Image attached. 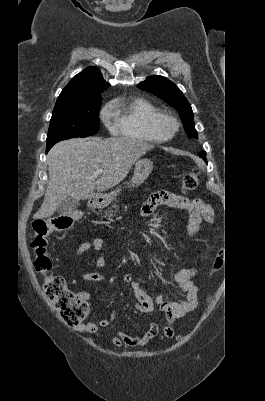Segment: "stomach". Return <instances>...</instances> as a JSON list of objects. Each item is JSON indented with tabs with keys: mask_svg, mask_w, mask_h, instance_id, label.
<instances>
[{
	"mask_svg": "<svg viewBox=\"0 0 265 401\" xmlns=\"http://www.w3.org/2000/svg\"><path fill=\"white\" fill-rule=\"evenodd\" d=\"M153 162L150 158H139L137 162H135V168L133 172V176L128 182L129 186H139L142 184L144 180H146L147 176H149L150 172H152ZM121 188H117V190H112L109 194H104L103 198H101V203H99L100 198H98L97 205H101V207H107L113 198L117 196L118 192H120Z\"/></svg>",
	"mask_w": 265,
	"mask_h": 401,
	"instance_id": "obj_1",
	"label": "stomach"
}]
</instances>
